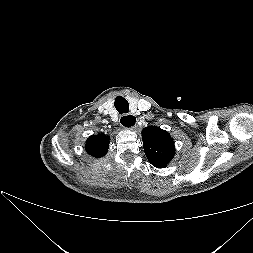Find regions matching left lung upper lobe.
<instances>
[{
  "instance_id": "5c2ea615",
  "label": "left lung upper lobe",
  "mask_w": 253,
  "mask_h": 253,
  "mask_svg": "<svg viewBox=\"0 0 253 253\" xmlns=\"http://www.w3.org/2000/svg\"><path fill=\"white\" fill-rule=\"evenodd\" d=\"M143 148L149 162L164 168L175 153L174 141L170 134L157 126H149L142 131Z\"/></svg>"
}]
</instances>
